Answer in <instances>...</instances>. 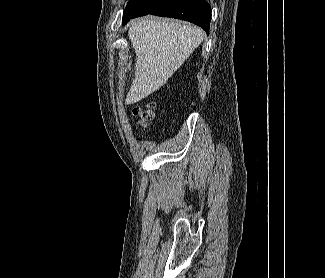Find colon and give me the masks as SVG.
Masks as SVG:
<instances>
[{
	"label": "colon",
	"mask_w": 325,
	"mask_h": 278,
	"mask_svg": "<svg viewBox=\"0 0 325 278\" xmlns=\"http://www.w3.org/2000/svg\"><path fill=\"white\" fill-rule=\"evenodd\" d=\"M153 104L147 105L145 107H135L132 110V115L137 119L140 126L145 127L154 118V112L152 110Z\"/></svg>",
	"instance_id": "obj_1"
}]
</instances>
